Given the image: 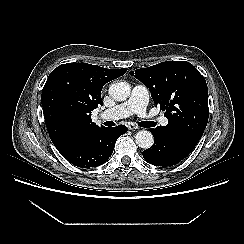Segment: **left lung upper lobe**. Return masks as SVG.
I'll list each match as a JSON object with an SVG mask.
<instances>
[{"mask_svg":"<svg viewBox=\"0 0 244 244\" xmlns=\"http://www.w3.org/2000/svg\"><path fill=\"white\" fill-rule=\"evenodd\" d=\"M144 83L165 112L168 125L161 127L193 149L201 139L209 116L208 88L204 77L189 62L166 61L130 72Z\"/></svg>","mask_w":244,"mask_h":244,"instance_id":"left-lung-upper-lobe-1","label":"left lung upper lobe"}]
</instances>
